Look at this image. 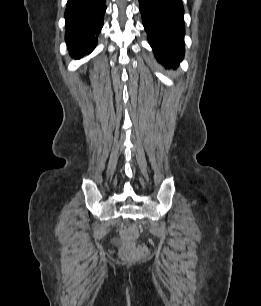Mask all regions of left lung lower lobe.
<instances>
[{
  "label": "left lung lower lobe",
  "mask_w": 261,
  "mask_h": 306,
  "mask_svg": "<svg viewBox=\"0 0 261 306\" xmlns=\"http://www.w3.org/2000/svg\"><path fill=\"white\" fill-rule=\"evenodd\" d=\"M143 25L158 61L178 64L184 56L182 0H139Z\"/></svg>",
  "instance_id": "1"
}]
</instances>
